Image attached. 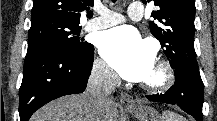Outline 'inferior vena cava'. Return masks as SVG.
Here are the masks:
<instances>
[{
    "label": "inferior vena cava",
    "instance_id": "inferior-vena-cava-1",
    "mask_svg": "<svg viewBox=\"0 0 217 121\" xmlns=\"http://www.w3.org/2000/svg\"><path fill=\"white\" fill-rule=\"evenodd\" d=\"M120 83L118 75L106 65L93 66L83 94L88 103L92 121H104V117L114 103L111 94Z\"/></svg>",
    "mask_w": 217,
    "mask_h": 121
}]
</instances>
